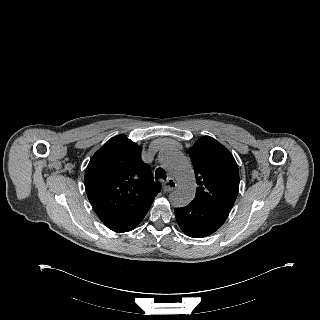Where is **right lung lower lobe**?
Wrapping results in <instances>:
<instances>
[{"instance_id":"98d812e1","label":"right lung lower lobe","mask_w":320,"mask_h":320,"mask_svg":"<svg viewBox=\"0 0 320 320\" xmlns=\"http://www.w3.org/2000/svg\"><path fill=\"white\" fill-rule=\"evenodd\" d=\"M147 212L148 210L140 211L125 218L106 221L104 224L115 232H128L133 230L142 221Z\"/></svg>"}]
</instances>
